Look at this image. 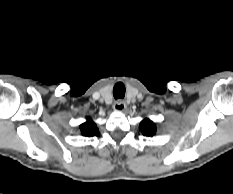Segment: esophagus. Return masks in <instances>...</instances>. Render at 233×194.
Returning <instances> with one entry per match:
<instances>
[{
  "instance_id": "34e87169",
  "label": "esophagus",
  "mask_w": 233,
  "mask_h": 194,
  "mask_svg": "<svg viewBox=\"0 0 233 194\" xmlns=\"http://www.w3.org/2000/svg\"><path fill=\"white\" fill-rule=\"evenodd\" d=\"M126 108V104L124 101L122 100H117L114 104V110L115 111H119V112H122L124 111Z\"/></svg>"
}]
</instances>
